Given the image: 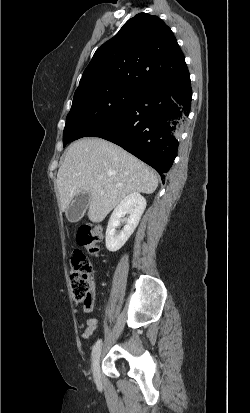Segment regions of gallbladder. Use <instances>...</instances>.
<instances>
[{"label": "gallbladder", "instance_id": "1", "mask_svg": "<svg viewBox=\"0 0 250 413\" xmlns=\"http://www.w3.org/2000/svg\"><path fill=\"white\" fill-rule=\"evenodd\" d=\"M88 193L77 195L66 210V217L70 222H78L84 215L89 204Z\"/></svg>", "mask_w": 250, "mask_h": 413}]
</instances>
